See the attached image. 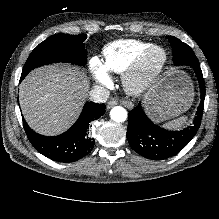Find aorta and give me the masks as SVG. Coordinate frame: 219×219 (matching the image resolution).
I'll list each match as a JSON object with an SVG mask.
<instances>
[{
  "mask_svg": "<svg viewBox=\"0 0 219 219\" xmlns=\"http://www.w3.org/2000/svg\"><path fill=\"white\" fill-rule=\"evenodd\" d=\"M110 117L114 122H124L127 118V111L121 106L114 107L110 111Z\"/></svg>",
  "mask_w": 219,
  "mask_h": 219,
  "instance_id": "obj_1",
  "label": "aorta"
}]
</instances>
